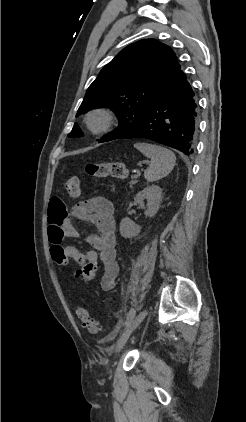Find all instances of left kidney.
<instances>
[{
    "instance_id": "left-kidney-1",
    "label": "left kidney",
    "mask_w": 246,
    "mask_h": 422,
    "mask_svg": "<svg viewBox=\"0 0 246 422\" xmlns=\"http://www.w3.org/2000/svg\"><path fill=\"white\" fill-rule=\"evenodd\" d=\"M162 189L157 185H150L138 192L134 198V202L141 208L145 209V214L152 218L154 217L161 203ZM147 200V205H144V200ZM141 227L135 224L131 219L125 217L120 222V234L124 238H133L139 235Z\"/></svg>"
}]
</instances>
